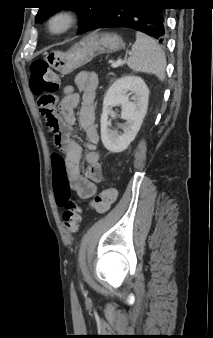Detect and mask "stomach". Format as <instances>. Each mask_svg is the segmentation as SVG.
Masks as SVG:
<instances>
[{"label": "stomach", "mask_w": 213, "mask_h": 338, "mask_svg": "<svg viewBox=\"0 0 213 338\" xmlns=\"http://www.w3.org/2000/svg\"><path fill=\"white\" fill-rule=\"evenodd\" d=\"M124 47L122 38L113 33H91L75 43L68 52L54 51L46 56L49 65L63 75L89 63L103 53H113Z\"/></svg>", "instance_id": "obj_1"}]
</instances>
